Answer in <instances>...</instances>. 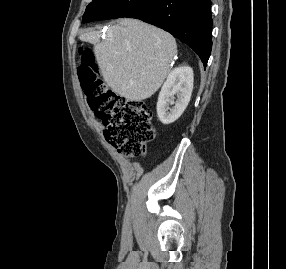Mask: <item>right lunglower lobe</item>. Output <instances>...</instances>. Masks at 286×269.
<instances>
[{
	"instance_id": "98d812e1",
	"label": "right lung lower lobe",
	"mask_w": 286,
	"mask_h": 269,
	"mask_svg": "<svg viewBox=\"0 0 286 269\" xmlns=\"http://www.w3.org/2000/svg\"><path fill=\"white\" fill-rule=\"evenodd\" d=\"M128 17L171 33L189 45L206 67L212 48L211 0H152Z\"/></svg>"
}]
</instances>
